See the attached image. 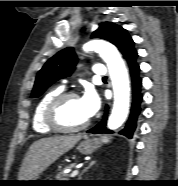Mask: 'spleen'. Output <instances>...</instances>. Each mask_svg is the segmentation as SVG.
<instances>
[{
	"instance_id": "1",
	"label": "spleen",
	"mask_w": 178,
	"mask_h": 186,
	"mask_svg": "<svg viewBox=\"0 0 178 186\" xmlns=\"http://www.w3.org/2000/svg\"><path fill=\"white\" fill-rule=\"evenodd\" d=\"M102 141L104 143H109L110 142V139L108 137H102Z\"/></svg>"
}]
</instances>
